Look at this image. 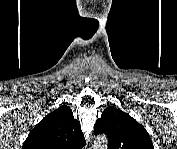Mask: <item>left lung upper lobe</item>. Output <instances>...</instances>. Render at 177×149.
Segmentation results:
<instances>
[{"mask_svg": "<svg viewBox=\"0 0 177 149\" xmlns=\"http://www.w3.org/2000/svg\"><path fill=\"white\" fill-rule=\"evenodd\" d=\"M95 134H106L109 149H154L146 129L129 114L107 107L94 125Z\"/></svg>", "mask_w": 177, "mask_h": 149, "instance_id": "5c2ea615", "label": "left lung upper lobe"}]
</instances>
